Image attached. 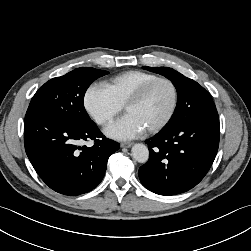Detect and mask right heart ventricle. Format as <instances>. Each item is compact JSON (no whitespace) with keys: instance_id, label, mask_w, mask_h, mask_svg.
Returning a JSON list of instances; mask_svg holds the SVG:
<instances>
[{"instance_id":"1","label":"right heart ventricle","mask_w":251,"mask_h":251,"mask_svg":"<svg viewBox=\"0 0 251 251\" xmlns=\"http://www.w3.org/2000/svg\"><path fill=\"white\" fill-rule=\"evenodd\" d=\"M157 77L158 75L154 73L129 70L108 79L104 83V87L116 102L123 107L141 86Z\"/></svg>"}]
</instances>
